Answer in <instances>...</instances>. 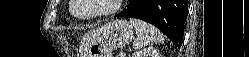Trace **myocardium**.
<instances>
[{"label":"myocardium","instance_id":"f54148a6","mask_svg":"<svg viewBox=\"0 0 249 57\" xmlns=\"http://www.w3.org/2000/svg\"><path fill=\"white\" fill-rule=\"evenodd\" d=\"M122 2H123V0H111L110 7L108 9L100 11L98 13L81 16V15H77L75 13V8L78 4V0H72L71 6H70V12L75 18H77L79 20H91V19H96L99 17H104V16L114 14L115 12H117L119 10Z\"/></svg>","mask_w":249,"mask_h":57}]
</instances>
